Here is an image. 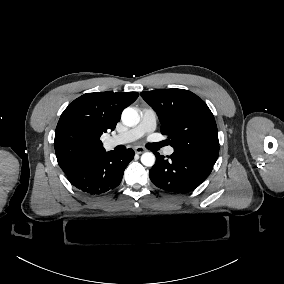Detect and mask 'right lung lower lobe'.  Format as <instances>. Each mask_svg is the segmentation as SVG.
Wrapping results in <instances>:
<instances>
[{"label": "right lung lower lobe", "mask_w": 284, "mask_h": 284, "mask_svg": "<svg viewBox=\"0 0 284 284\" xmlns=\"http://www.w3.org/2000/svg\"><path fill=\"white\" fill-rule=\"evenodd\" d=\"M133 157L132 149L105 152L67 175V178L82 192L100 195L120 184L124 170Z\"/></svg>", "instance_id": "right-lung-lower-lobe-1"}]
</instances>
